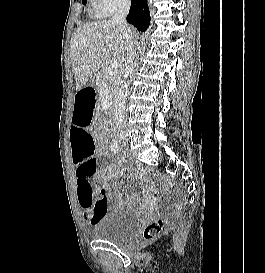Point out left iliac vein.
Masks as SVG:
<instances>
[{"label":"left iliac vein","mask_w":265,"mask_h":273,"mask_svg":"<svg viewBox=\"0 0 265 273\" xmlns=\"http://www.w3.org/2000/svg\"><path fill=\"white\" fill-rule=\"evenodd\" d=\"M121 142L126 144L128 142V135L125 133L124 136L121 138Z\"/></svg>","instance_id":"4c4485c4"}]
</instances>
